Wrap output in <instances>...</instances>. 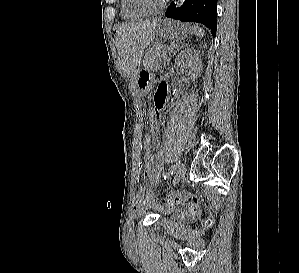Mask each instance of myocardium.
<instances>
[{"label": "myocardium", "mask_w": 299, "mask_h": 273, "mask_svg": "<svg viewBox=\"0 0 299 273\" xmlns=\"http://www.w3.org/2000/svg\"><path fill=\"white\" fill-rule=\"evenodd\" d=\"M133 5L140 11L147 14H156L161 12L166 6L169 0H163L157 6H150L146 0H131Z\"/></svg>", "instance_id": "obj_1"}]
</instances>
